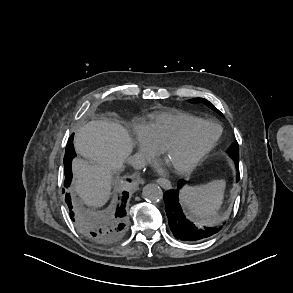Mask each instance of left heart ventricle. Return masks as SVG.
I'll return each instance as SVG.
<instances>
[{
	"mask_svg": "<svg viewBox=\"0 0 293 293\" xmlns=\"http://www.w3.org/2000/svg\"><path fill=\"white\" fill-rule=\"evenodd\" d=\"M215 133L216 129L212 126L195 127L189 132L185 142L179 148L165 156L166 161L171 167L186 162L201 150Z\"/></svg>",
	"mask_w": 293,
	"mask_h": 293,
	"instance_id": "1",
	"label": "left heart ventricle"
}]
</instances>
